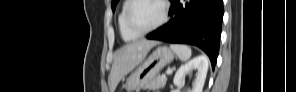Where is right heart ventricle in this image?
Returning a JSON list of instances; mask_svg holds the SVG:
<instances>
[{
  "instance_id": "right-heart-ventricle-1",
  "label": "right heart ventricle",
  "mask_w": 296,
  "mask_h": 92,
  "mask_svg": "<svg viewBox=\"0 0 296 92\" xmlns=\"http://www.w3.org/2000/svg\"><path fill=\"white\" fill-rule=\"evenodd\" d=\"M129 3H130L129 0L123 2L122 7H121L120 12H119V15H118L119 31H120V34H121L122 38L125 41H132V40H135V39H137L139 37V36L133 34L127 28L126 23H125V13H126V9H127V6L129 5Z\"/></svg>"
}]
</instances>
